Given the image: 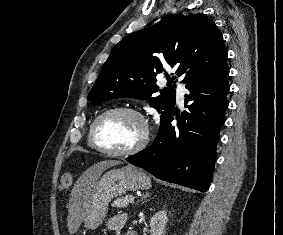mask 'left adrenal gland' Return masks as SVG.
Wrapping results in <instances>:
<instances>
[{
	"label": "left adrenal gland",
	"instance_id": "a2214340",
	"mask_svg": "<svg viewBox=\"0 0 283 235\" xmlns=\"http://www.w3.org/2000/svg\"><path fill=\"white\" fill-rule=\"evenodd\" d=\"M150 196V193L149 192H146L144 195H143V197L141 198V200H143V199H145V198H147V197H149Z\"/></svg>",
	"mask_w": 283,
	"mask_h": 235
}]
</instances>
